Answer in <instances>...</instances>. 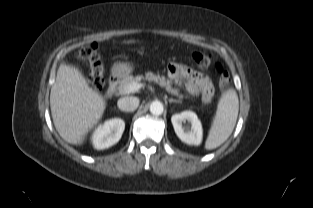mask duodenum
<instances>
[{"mask_svg":"<svg viewBox=\"0 0 313 208\" xmlns=\"http://www.w3.org/2000/svg\"><path fill=\"white\" fill-rule=\"evenodd\" d=\"M116 84H117V77L115 75H112L109 84L106 89V95L111 97L115 94L116 91Z\"/></svg>","mask_w":313,"mask_h":208,"instance_id":"duodenum-1","label":"duodenum"}]
</instances>
